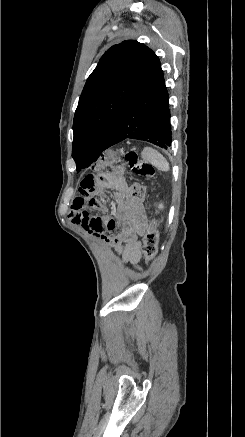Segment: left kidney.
Segmentation results:
<instances>
[{
  "label": "left kidney",
  "instance_id": "obj_1",
  "mask_svg": "<svg viewBox=\"0 0 245 437\" xmlns=\"http://www.w3.org/2000/svg\"><path fill=\"white\" fill-rule=\"evenodd\" d=\"M158 208H159V209H162V208H163V205H162V204H159Z\"/></svg>",
  "mask_w": 245,
  "mask_h": 437
}]
</instances>
